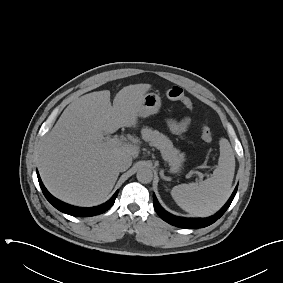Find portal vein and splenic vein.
<instances>
[{
	"label": "portal vein and splenic vein",
	"instance_id": "obj_1",
	"mask_svg": "<svg viewBox=\"0 0 283 283\" xmlns=\"http://www.w3.org/2000/svg\"><path fill=\"white\" fill-rule=\"evenodd\" d=\"M105 144L110 146V147H116V146H121L123 144H125L124 140L118 137H113V138H106L105 139ZM195 174H197L200 178V181H202L204 174L199 172V171H195Z\"/></svg>",
	"mask_w": 283,
	"mask_h": 283
}]
</instances>
